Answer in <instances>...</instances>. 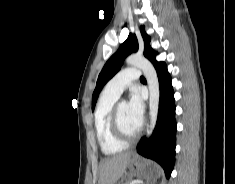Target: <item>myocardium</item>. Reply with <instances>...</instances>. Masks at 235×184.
<instances>
[{"instance_id":"f54148a6","label":"myocardium","mask_w":235,"mask_h":184,"mask_svg":"<svg viewBox=\"0 0 235 184\" xmlns=\"http://www.w3.org/2000/svg\"><path fill=\"white\" fill-rule=\"evenodd\" d=\"M119 105L120 103H117L114 105L113 109H112V113H111V128L113 133L115 134V136L120 139L121 141L125 142V143H133L138 141L144 131V122H142L140 129L138 130V132L133 135V136H129L127 135L120 124V120H119Z\"/></svg>"}]
</instances>
